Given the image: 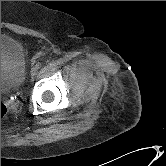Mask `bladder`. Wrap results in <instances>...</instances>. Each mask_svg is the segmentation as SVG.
<instances>
[{"mask_svg": "<svg viewBox=\"0 0 166 166\" xmlns=\"http://www.w3.org/2000/svg\"><path fill=\"white\" fill-rule=\"evenodd\" d=\"M25 56L21 44L1 34V90L20 86L25 76Z\"/></svg>", "mask_w": 166, "mask_h": 166, "instance_id": "1", "label": "bladder"}]
</instances>
